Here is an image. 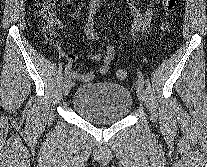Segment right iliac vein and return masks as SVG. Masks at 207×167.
Segmentation results:
<instances>
[{
	"label": "right iliac vein",
	"mask_w": 207,
	"mask_h": 167,
	"mask_svg": "<svg viewBox=\"0 0 207 167\" xmlns=\"http://www.w3.org/2000/svg\"><path fill=\"white\" fill-rule=\"evenodd\" d=\"M72 85H73L72 77L71 75H67L63 86V93L65 96L70 92Z\"/></svg>",
	"instance_id": "1"
}]
</instances>
